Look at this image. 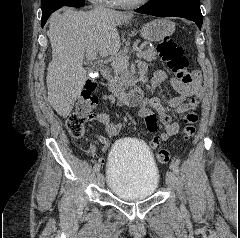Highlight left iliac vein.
Here are the masks:
<instances>
[{"label":"left iliac vein","instance_id":"1","mask_svg":"<svg viewBox=\"0 0 240 238\" xmlns=\"http://www.w3.org/2000/svg\"><path fill=\"white\" fill-rule=\"evenodd\" d=\"M176 182V176L173 171H168L166 174V183L169 187H173Z\"/></svg>","mask_w":240,"mask_h":238}]
</instances>
